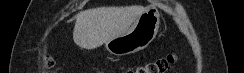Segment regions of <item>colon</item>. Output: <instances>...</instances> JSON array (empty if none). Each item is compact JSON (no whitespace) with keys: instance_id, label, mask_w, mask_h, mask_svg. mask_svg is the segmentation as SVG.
I'll return each instance as SVG.
<instances>
[{"instance_id":"5ec220e1","label":"colon","mask_w":244,"mask_h":73,"mask_svg":"<svg viewBox=\"0 0 244 73\" xmlns=\"http://www.w3.org/2000/svg\"><path fill=\"white\" fill-rule=\"evenodd\" d=\"M174 61H175V57L173 55H169L136 66L134 68L129 69L126 72L127 73H165L170 68V66L174 63ZM43 62L46 68H52L54 65V61L49 57H46Z\"/></svg>"}]
</instances>
